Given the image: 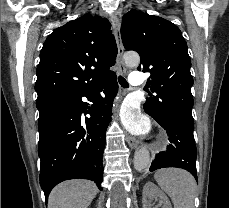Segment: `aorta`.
Returning a JSON list of instances; mask_svg holds the SVG:
<instances>
[{
	"instance_id": "762f6f07",
	"label": "aorta",
	"mask_w": 229,
	"mask_h": 208,
	"mask_svg": "<svg viewBox=\"0 0 229 208\" xmlns=\"http://www.w3.org/2000/svg\"><path fill=\"white\" fill-rule=\"evenodd\" d=\"M124 61L130 67H136L139 65L140 57L137 53H126L124 55ZM150 162V154L146 148H140L135 151L134 168L137 171L141 172L148 169Z\"/></svg>"
}]
</instances>
